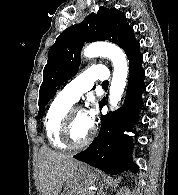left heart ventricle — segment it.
I'll use <instances>...</instances> for the list:
<instances>
[{
	"instance_id": "b2bd125f",
	"label": "left heart ventricle",
	"mask_w": 178,
	"mask_h": 195,
	"mask_svg": "<svg viewBox=\"0 0 178 195\" xmlns=\"http://www.w3.org/2000/svg\"><path fill=\"white\" fill-rule=\"evenodd\" d=\"M91 131L92 128L87 124L84 113L76 112L71 127L72 141L77 144L82 143L89 137Z\"/></svg>"
}]
</instances>
